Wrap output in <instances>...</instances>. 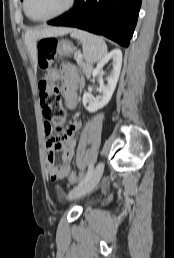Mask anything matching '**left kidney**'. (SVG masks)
Masks as SVG:
<instances>
[{
	"label": "left kidney",
	"instance_id": "left-kidney-1",
	"mask_svg": "<svg viewBox=\"0 0 174 258\" xmlns=\"http://www.w3.org/2000/svg\"><path fill=\"white\" fill-rule=\"evenodd\" d=\"M112 60L113 69L110 74L107 76V85L103 82V66ZM122 65V52L119 49H114L107 55H105L97 64V67L93 70V77L99 76L100 78V87L99 92L101 96L96 97L95 99L91 93L86 92L83 95V105L89 112H95L98 109L104 107L110 101L113 92L116 88L118 78L120 75Z\"/></svg>",
	"mask_w": 174,
	"mask_h": 258
}]
</instances>
